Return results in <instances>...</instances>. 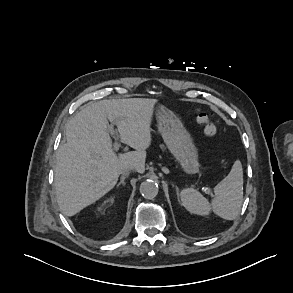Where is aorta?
I'll list each match as a JSON object with an SVG mask.
<instances>
[{
	"instance_id": "762f6f07",
	"label": "aorta",
	"mask_w": 293,
	"mask_h": 293,
	"mask_svg": "<svg viewBox=\"0 0 293 293\" xmlns=\"http://www.w3.org/2000/svg\"><path fill=\"white\" fill-rule=\"evenodd\" d=\"M140 193L144 198L152 199L157 196L158 194V184L150 179L143 181L140 184Z\"/></svg>"
}]
</instances>
